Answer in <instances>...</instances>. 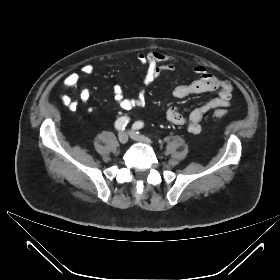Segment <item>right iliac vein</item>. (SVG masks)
I'll return each mask as SVG.
<instances>
[{"instance_id":"obj_1","label":"right iliac vein","mask_w":280,"mask_h":280,"mask_svg":"<svg viewBox=\"0 0 280 280\" xmlns=\"http://www.w3.org/2000/svg\"><path fill=\"white\" fill-rule=\"evenodd\" d=\"M118 140L121 144H126L129 140V134L127 132H120L118 135Z\"/></svg>"}]
</instances>
